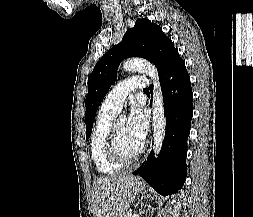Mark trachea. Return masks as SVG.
<instances>
[{"mask_svg": "<svg viewBox=\"0 0 253 217\" xmlns=\"http://www.w3.org/2000/svg\"><path fill=\"white\" fill-rule=\"evenodd\" d=\"M149 91V89L148 88H144V92H148Z\"/></svg>", "mask_w": 253, "mask_h": 217, "instance_id": "trachea-1", "label": "trachea"}]
</instances>
